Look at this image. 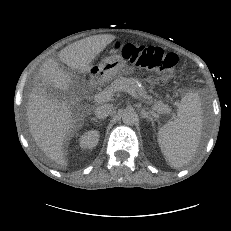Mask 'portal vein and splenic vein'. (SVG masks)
<instances>
[{"mask_svg":"<svg viewBox=\"0 0 231 231\" xmlns=\"http://www.w3.org/2000/svg\"><path fill=\"white\" fill-rule=\"evenodd\" d=\"M120 90L125 91V92L129 93L130 95H132L134 98H136V99L141 100L142 102H144L140 98V96L135 92V90H133L129 86H121V87L118 88V91H120ZM114 92L115 91H113L112 89L111 90H106V91L99 92V93L95 94L94 100L96 102H98V103L109 101L113 97Z\"/></svg>","mask_w":231,"mask_h":231,"instance_id":"1","label":"portal vein and splenic vein"}]
</instances>
